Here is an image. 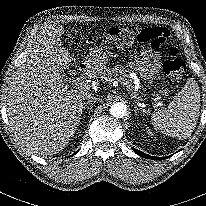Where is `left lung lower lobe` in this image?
Returning a JSON list of instances; mask_svg holds the SVG:
<instances>
[{"instance_id":"obj_1","label":"left lung lower lobe","mask_w":206,"mask_h":206,"mask_svg":"<svg viewBox=\"0 0 206 206\" xmlns=\"http://www.w3.org/2000/svg\"><path fill=\"white\" fill-rule=\"evenodd\" d=\"M132 149L136 154H138V155H140L141 157H144V158H149V159H153V160H163V159L168 158V157H154V156L146 155L145 153H143V152H141V151H139L135 148H132Z\"/></svg>"}]
</instances>
